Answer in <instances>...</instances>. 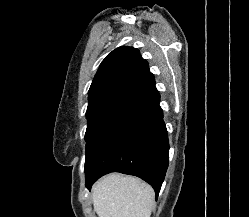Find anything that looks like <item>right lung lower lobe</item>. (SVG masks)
I'll return each mask as SVG.
<instances>
[{
  "mask_svg": "<svg viewBox=\"0 0 249 217\" xmlns=\"http://www.w3.org/2000/svg\"><path fill=\"white\" fill-rule=\"evenodd\" d=\"M152 73L124 92L105 112L86 148V187L110 172L137 176L158 197L169 142Z\"/></svg>",
  "mask_w": 249,
  "mask_h": 217,
  "instance_id": "1",
  "label": "right lung lower lobe"
}]
</instances>
